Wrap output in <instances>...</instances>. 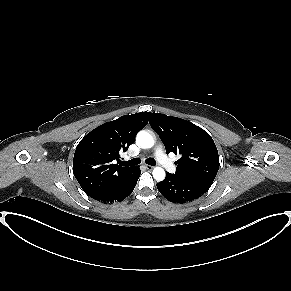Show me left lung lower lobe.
<instances>
[{"mask_svg":"<svg viewBox=\"0 0 291 291\" xmlns=\"http://www.w3.org/2000/svg\"><path fill=\"white\" fill-rule=\"evenodd\" d=\"M211 185L167 173L166 178L162 182L157 183V188L170 202L183 203L199 198L208 191Z\"/></svg>","mask_w":291,"mask_h":291,"instance_id":"0a47b994","label":"left lung lower lobe"}]
</instances>
